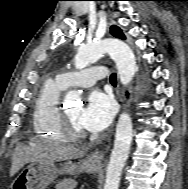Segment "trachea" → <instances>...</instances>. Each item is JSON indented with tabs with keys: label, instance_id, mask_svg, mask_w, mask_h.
<instances>
[{
	"label": "trachea",
	"instance_id": "trachea-1",
	"mask_svg": "<svg viewBox=\"0 0 188 189\" xmlns=\"http://www.w3.org/2000/svg\"><path fill=\"white\" fill-rule=\"evenodd\" d=\"M110 82L111 83H116L117 82V77L115 73H112L110 76Z\"/></svg>",
	"mask_w": 188,
	"mask_h": 189
}]
</instances>
